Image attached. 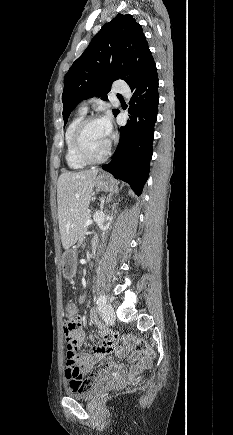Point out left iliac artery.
<instances>
[{"label":"left iliac artery","instance_id":"left-iliac-artery-1","mask_svg":"<svg viewBox=\"0 0 233 435\" xmlns=\"http://www.w3.org/2000/svg\"><path fill=\"white\" fill-rule=\"evenodd\" d=\"M106 304V297H105V295H100L99 297H98V299H97V305L99 306V307H102V306H104Z\"/></svg>","mask_w":233,"mask_h":435}]
</instances>
